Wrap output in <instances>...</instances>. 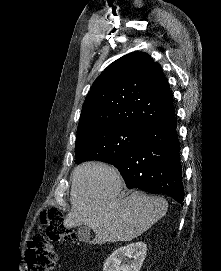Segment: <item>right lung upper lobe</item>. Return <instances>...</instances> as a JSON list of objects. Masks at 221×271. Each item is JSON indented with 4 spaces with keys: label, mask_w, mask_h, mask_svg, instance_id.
Here are the masks:
<instances>
[{
    "label": "right lung upper lobe",
    "mask_w": 221,
    "mask_h": 271,
    "mask_svg": "<svg viewBox=\"0 0 221 271\" xmlns=\"http://www.w3.org/2000/svg\"><path fill=\"white\" fill-rule=\"evenodd\" d=\"M173 113V95L160 65L147 53L133 52L113 62L94 81L76 138L116 125L145 129Z\"/></svg>",
    "instance_id": "right-lung-upper-lobe-1"
}]
</instances>
